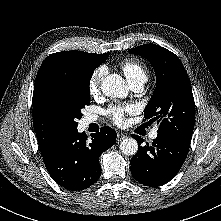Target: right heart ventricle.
Returning <instances> with one entry per match:
<instances>
[{
  "mask_svg": "<svg viewBox=\"0 0 221 221\" xmlns=\"http://www.w3.org/2000/svg\"><path fill=\"white\" fill-rule=\"evenodd\" d=\"M119 67L128 82L144 84L148 80L149 70L147 65L138 57H129L119 63Z\"/></svg>",
  "mask_w": 221,
  "mask_h": 221,
  "instance_id": "1",
  "label": "right heart ventricle"
}]
</instances>
